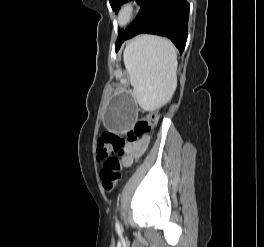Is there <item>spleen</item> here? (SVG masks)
<instances>
[{
    "label": "spleen",
    "mask_w": 264,
    "mask_h": 247,
    "mask_svg": "<svg viewBox=\"0 0 264 247\" xmlns=\"http://www.w3.org/2000/svg\"><path fill=\"white\" fill-rule=\"evenodd\" d=\"M123 60L134 96L159 105L167 103L177 87V54L162 37L141 35L125 48Z\"/></svg>",
    "instance_id": "3e777b00"
}]
</instances>
